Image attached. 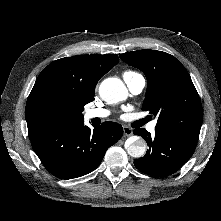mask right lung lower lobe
Here are the masks:
<instances>
[{
    "mask_svg": "<svg viewBox=\"0 0 221 221\" xmlns=\"http://www.w3.org/2000/svg\"><path fill=\"white\" fill-rule=\"evenodd\" d=\"M123 135L115 122H104L91 130L84 121L57 125L30 138L44 167L61 179L86 175L101 163L107 149Z\"/></svg>",
    "mask_w": 221,
    "mask_h": 221,
    "instance_id": "obj_1",
    "label": "right lung lower lobe"
}]
</instances>
